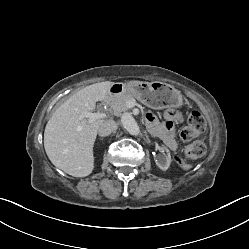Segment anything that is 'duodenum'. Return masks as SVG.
I'll list each match as a JSON object with an SVG mask.
<instances>
[{
    "label": "duodenum",
    "mask_w": 249,
    "mask_h": 249,
    "mask_svg": "<svg viewBox=\"0 0 249 249\" xmlns=\"http://www.w3.org/2000/svg\"><path fill=\"white\" fill-rule=\"evenodd\" d=\"M115 94L111 93L110 91H108V93L104 96L101 104L104 105L106 104Z\"/></svg>",
    "instance_id": "duodenum-1"
}]
</instances>
